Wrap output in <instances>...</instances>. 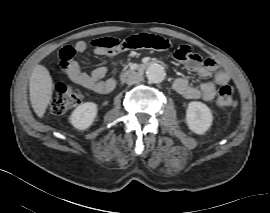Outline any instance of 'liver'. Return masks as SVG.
I'll use <instances>...</instances> for the list:
<instances>
[{"mask_svg":"<svg viewBox=\"0 0 270 213\" xmlns=\"http://www.w3.org/2000/svg\"><path fill=\"white\" fill-rule=\"evenodd\" d=\"M29 93L34 112L38 117H43L53 94V80L45 66L34 67L29 81Z\"/></svg>","mask_w":270,"mask_h":213,"instance_id":"liver-1","label":"liver"}]
</instances>
